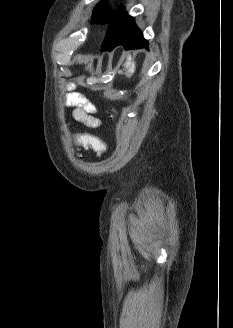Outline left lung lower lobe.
Returning <instances> with one entry per match:
<instances>
[{
    "instance_id": "1",
    "label": "left lung lower lobe",
    "mask_w": 233,
    "mask_h": 328,
    "mask_svg": "<svg viewBox=\"0 0 233 328\" xmlns=\"http://www.w3.org/2000/svg\"><path fill=\"white\" fill-rule=\"evenodd\" d=\"M117 45H123L127 50L148 47V41L143 38L134 18L127 15L124 10L110 23L101 50L111 51Z\"/></svg>"
}]
</instances>
